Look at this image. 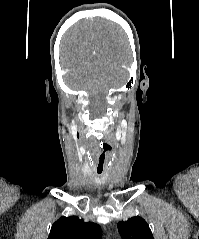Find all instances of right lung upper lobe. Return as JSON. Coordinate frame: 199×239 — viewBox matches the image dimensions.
I'll return each instance as SVG.
<instances>
[{
    "mask_svg": "<svg viewBox=\"0 0 199 239\" xmlns=\"http://www.w3.org/2000/svg\"><path fill=\"white\" fill-rule=\"evenodd\" d=\"M101 228L93 222L85 223L76 216L61 217L50 230L48 239H100Z\"/></svg>",
    "mask_w": 199,
    "mask_h": 239,
    "instance_id": "cb5924a9",
    "label": "right lung upper lobe"
}]
</instances>
